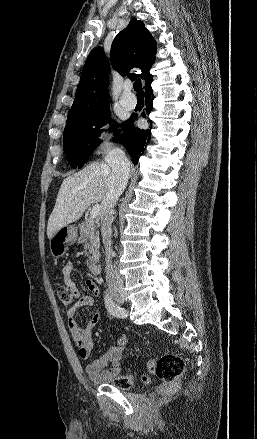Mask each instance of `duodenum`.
<instances>
[{
	"instance_id": "1",
	"label": "duodenum",
	"mask_w": 257,
	"mask_h": 439,
	"mask_svg": "<svg viewBox=\"0 0 257 439\" xmlns=\"http://www.w3.org/2000/svg\"><path fill=\"white\" fill-rule=\"evenodd\" d=\"M90 268L93 275L97 276L100 274V265L97 262L95 261L91 262Z\"/></svg>"
}]
</instances>
